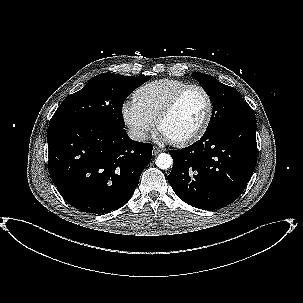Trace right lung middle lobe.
<instances>
[{"label": "right lung middle lobe", "mask_w": 303, "mask_h": 303, "mask_svg": "<svg viewBox=\"0 0 303 303\" xmlns=\"http://www.w3.org/2000/svg\"><path fill=\"white\" fill-rule=\"evenodd\" d=\"M148 80L149 76L99 74L90 79L81 90L65 98L51 118L49 126L94 123L124 128L123 103L133 90Z\"/></svg>", "instance_id": "right-lung-middle-lobe-1"}]
</instances>
